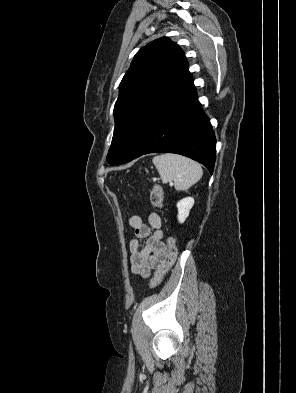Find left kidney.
<instances>
[{"mask_svg":"<svg viewBox=\"0 0 296 393\" xmlns=\"http://www.w3.org/2000/svg\"><path fill=\"white\" fill-rule=\"evenodd\" d=\"M194 205L193 197H186L177 202L178 209V221L179 223H183L186 218L189 216L190 210Z\"/></svg>","mask_w":296,"mask_h":393,"instance_id":"obj_1","label":"left kidney"}]
</instances>
